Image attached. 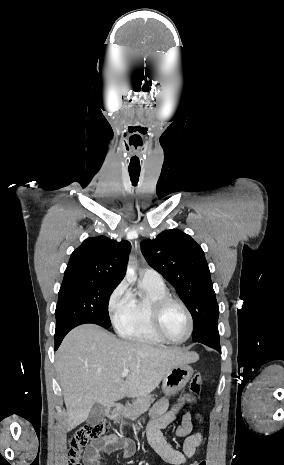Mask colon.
<instances>
[{
    "mask_svg": "<svg viewBox=\"0 0 284 465\" xmlns=\"http://www.w3.org/2000/svg\"><path fill=\"white\" fill-rule=\"evenodd\" d=\"M204 378L201 373H196L193 376L192 384L190 387V393L193 397L198 398L201 394V385ZM181 428L183 430H189L191 428V423L189 421H183L181 423ZM106 427L103 422H97L93 425L81 428L71 437V455L68 465H81V445L89 442L92 439H97L105 433ZM175 432L179 431L178 427L174 428ZM199 465H206V462H200Z\"/></svg>",
    "mask_w": 284,
    "mask_h": 465,
    "instance_id": "5ec220e1",
    "label": "colon"
}]
</instances>
